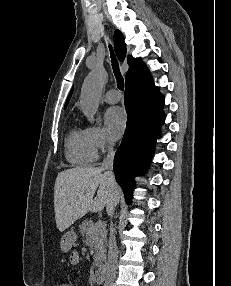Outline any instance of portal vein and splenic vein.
<instances>
[{
  "label": "portal vein and splenic vein",
  "mask_w": 231,
  "mask_h": 286,
  "mask_svg": "<svg viewBox=\"0 0 231 286\" xmlns=\"http://www.w3.org/2000/svg\"><path fill=\"white\" fill-rule=\"evenodd\" d=\"M95 225H96V227H103L104 223L101 220H99L96 222Z\"/></svg>",
  "instance_id": "portal-vein-and-splenic-vein-1"
}]
</instances>
